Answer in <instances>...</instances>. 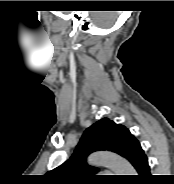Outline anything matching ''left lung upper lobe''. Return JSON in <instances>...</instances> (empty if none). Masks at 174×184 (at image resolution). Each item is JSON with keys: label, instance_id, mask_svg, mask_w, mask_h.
<instances>
[{"label": "left lung upper lobe", "instance_id": "1", "mask_svg": "<svg viewBox=\"0 0 174 184\" xmlns=\"http://www.w3.org/2000/svg\"><path fill=\"white\" fill-rule=\"evenodd\" d=\"M138 140L121 124L103 118L83 133L73 155L61 166L49 172L51 179L60 184H81L98 179V168L86 163L95 151L108 150L127 158Z\"/></svg>", "mask_w": 174, "mask_h": 184}]
</instances>
